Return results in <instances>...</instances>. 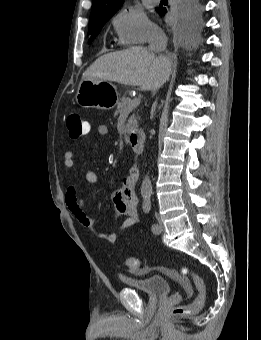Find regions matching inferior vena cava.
<instances>
[{
    "label": "inferior vena cava",
    "mask_w": 261,
    "mask_h": 340,
    "mask_svg": "<svg viewBox=\"0 0 261 340\" xmlns=\"http://www.w3.org/2000/svg\"><path fill=\"white\" fill-rule=\"evenodd\" d=\"M167 37L165 33L160 28H154L149 36V50L161 53L166 50L167 46ZM157 102L154 103V106Z\"/></svg>",
    "instance_id": "602c4592"
}]
</instances>
